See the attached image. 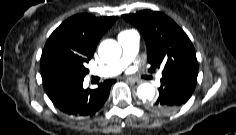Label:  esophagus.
<instances>
[{"instance_id": "esophagus-1", "label": "esophagus", "mask_w": 236, "mask_h": 135, "mask_svg": "<svg viewBox=\"0 0 236 135\" xmlns=\"http://www.w3.org/2000/svg\"><path fill=\"white\" fill-rule=\"evenodd\" d=\"M127 82L134 87L138 86L140 83L139 81L131 79V78L127 79Z\"/></svg>"}]
</instances>
